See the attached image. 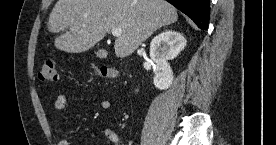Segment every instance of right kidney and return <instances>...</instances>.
Here are the masks:
<instances>
[{
  "instance_id": "obj_1",
  "label": "right kidney",
  "mask_w": 276,
  "mask_h": 145,
  "mask_svg": "<svg viewBox=\"0 0 276 145\" xmlns=\"http://www.w3.org/2000/svg\"><path fill=\"white\" fill-rule=\"evenodd\" d=\"M186 39L178 32L165 30L155 36L150 43V57L156 63L153 83L160 90L172 85L173 72L168 63L185 48Z\"/></svg>"
}]
</instances>
